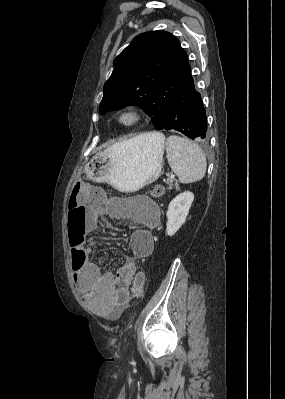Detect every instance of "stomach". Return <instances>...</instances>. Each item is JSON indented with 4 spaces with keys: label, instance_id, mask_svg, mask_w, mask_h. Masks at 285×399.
<instances>
[{
    "label": "stomach",
    "instance_id": "1",
    "mask_svg": "<svg viewBox=\"0 0 285 399\" xmlns=\"http://www.w3.org/2000/svg\"><path fill=\"white\" fill-rule=\"evenodd\" d=\"M154 134L139 135L98 152L85 166L87 177L123 192H134L156 181L163 165L165 137Z\"/></svg>",
    "mask_w": 285,
    "mask_h": 399
}]
</instances>
